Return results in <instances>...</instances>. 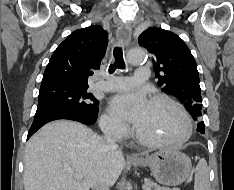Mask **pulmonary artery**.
I'll use <instances>...</instances> for the list:
<instances>
[{
	"label": "pulmonary artery",
	"instance_id": "obj_1",
	"mask_svg": "<svg viewBox=\"0 0 234 190\" xmlns=\"http://www.w3.org/2000/svg\"><path fill=\"white\" fill-rule=\"evenodd\" d=\"M149 67L139 66L134 77L103 75L106 80L96 83V87L104 91H125L144 84L149 79Z\"/></svg>",
	"mask_w": 234,
	"mask_h": 190
}]
</instances>
